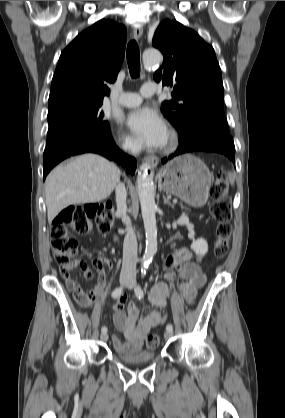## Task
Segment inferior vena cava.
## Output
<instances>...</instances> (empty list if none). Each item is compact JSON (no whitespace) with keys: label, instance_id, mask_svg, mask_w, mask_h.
I'll return each mask as SVG.
<instances>
[{"label":"inferior vena cava","instance_id":"inferior-vena-cava-1","mask_svg":"<svg viewBox=\"0 0 285 418\" xmlns=\"http://www.w3.org/2000/svg\"><path fill=\"white\" fill-rule=\"evenodd\" d=\"M125 150L131 151L133 154H136L138 151L135 147L130 145H124ZM116 205L117 213L121 215L123 223L126 225V235L123 243V261H122V275H136V263H137V239L135 232L131 226V221L126 215L127 205V191L125 185L121 182H118L116 186Z\"/></svg>","mask_w":285,"mask_h":418}]
</instances>
